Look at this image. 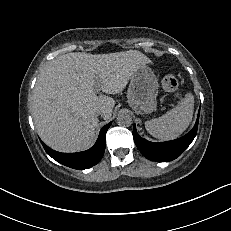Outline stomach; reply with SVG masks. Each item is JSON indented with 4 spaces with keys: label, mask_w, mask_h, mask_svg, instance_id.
I'll use <instances>...</instances> for the list:
<instances>
[{
    "label": "stomach",
    "mask_w": 231,
    "mask_h": 231,
    "mask_svg": "<svg viewBox=\"0 0 231 231\" xmlns=\"http://www.w3.org/2000/svg\"><path fill=\"white\" fill-rule=\"evenodd\" d=\"M159 84L152 69L139 67L131 76L127 91L129 106L138 114H150L156 110Z\"/></svg>",
    "instance_id": "1"
}]
</instances>
